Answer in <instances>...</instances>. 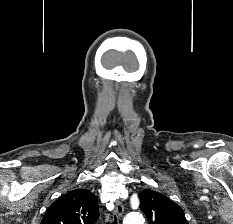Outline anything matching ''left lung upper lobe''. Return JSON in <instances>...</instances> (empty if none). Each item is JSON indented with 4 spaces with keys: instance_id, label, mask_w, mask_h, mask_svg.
Segmentation results:
<instances>
[{
    "instance_id": "5c2ea615",
    "label": "left lung upper lobe",
    "mask_w": 233,
    "mask_h": 224,
    "mask_svg": "<svg viewBox=\"0 0 233 224\" xmlns=\"http://www.w3.org/2000/svg\"><path fill=\"white\" fill-rule=\"evenodd\" d=\"M139 198L140 209L150 224H189L182 208L165 195L144 189Z\"/></svg>"
}]
</instances>
